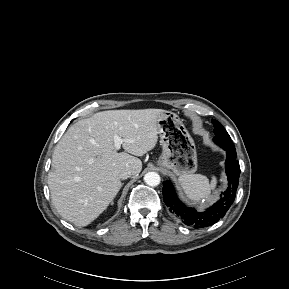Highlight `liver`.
<instances>
[{
  "label": "liver",
  "mask_w": 289,
  "mask_h": 289,
  "mask_svg": "<svg viewBox=\"0 0 289 289\" xmlns=\"http://www.w3.org/2000/svg\"><path fill=\"white\" fill-rule=\"evenodd\" d=\"M161 109L99 112L70 126L55 147L48 186L58 213L76 226L93 222L119 191V172L142 170V156L158 141ZM114 135L127 140L118 153ZM134 155V156H133Z\"/></svg>",
  "instance_id": "6515ba94"
}]
</instances>
